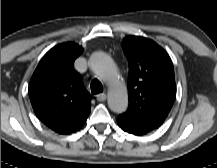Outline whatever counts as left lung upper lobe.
Returning <instances> with one entry per match:
<instances>
[{"instance_id":"1","label":"left lung upper lobe","mask_w":217,"mask_h":168,"mask_svg":"<svg viewBox=\"0 0 217 168\" xmlns=\"http://www.w3.org/2000/svg\"><path fill=\"white\" fill-rule=\"evenodd\" d=\"M122 48L129 64V107L119 117L136 127L156 130L176 97L172 61L163 48L144 37H126Z\"/></svg>"}]
</instances>
